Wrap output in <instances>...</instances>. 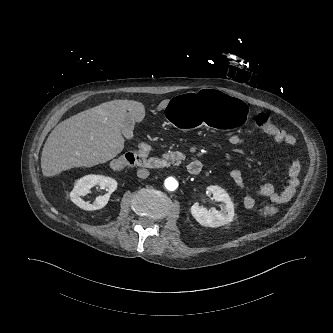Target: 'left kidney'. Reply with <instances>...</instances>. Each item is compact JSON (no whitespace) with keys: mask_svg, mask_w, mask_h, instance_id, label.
I'll return each instance as SVG.
<instances>
[{"mask_svg":"<svg viewBox=\"0 0 333 333\" xmlns=\"http://www.w3.org/2000/svg\"><path fill=\"white\" fill-rule=\"evenodd\" d=\"M209 193L213 194V198L222 202L221 211H208L205 207L195 203L191 207V214L196 221L204 227H220L229 224L234 218V205L228 193L219 186H209Z\"/></svg>","mask_w":333,"mask_h":333,"instance_id":"obj_1","label":"left kidney"}]
</instances>
